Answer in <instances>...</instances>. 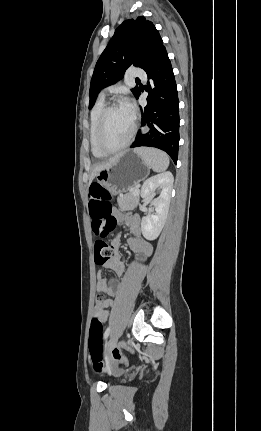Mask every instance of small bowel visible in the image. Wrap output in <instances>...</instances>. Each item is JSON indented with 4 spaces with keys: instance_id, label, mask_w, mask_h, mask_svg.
<instances>
[{
    "instance_id": "c3829d8e",
    "label": "small bowel",
    "mask_w": 261,
    "mask_h": 431,
    "mask_svg": "<svg viewBox=\"0 0 261 431\" xmlns=\"http://www.w3.org/2000/svg\"><path fill=\"white\" fill-rule=\"evenodd\" d=\"M118 219L124 221L132 234L128 238L127 243L129 248L136 254L137 258L140 260L146 259L150 256L152 252V246L149 242L141 238V226L140 218L137 215H124L118 214ZM111 246L114 249V256L102 265L101 268L111 269L117 275H122L125 271L124 264L122 262L119 249L121 247V242L118 237H114L111 240ZM97 291L107 296L113 297L117 293V283L114 279H106L102 276V272L99 271L97 274ZM113 305L112 299H106L101 303H96L94 309V316L99 318L103 323L107 320L109 316V309Z\"/></svg>"
}]
</instances>
